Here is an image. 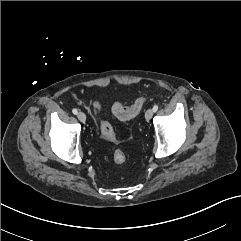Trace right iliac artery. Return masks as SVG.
Returning a JSON list of instances; mask_svg holds the SVG:
<instances>
[{
  "label": "right iliac artery",
  "mask_w": 241,
  "mask_h": 241,
  "mask_svg": "<svg viewBox=\"0 0 241 241\" xmlns=\"http://www.w3.org/2000/svg\"><path fill=\"white\" fill-rule=\"evenodd\" d=\"M72 112H73V114H75V115L78 113L77 109H73Z\"/></svg>",
  "instance_id": "1"
}]
</instances>
